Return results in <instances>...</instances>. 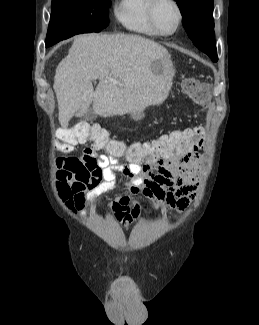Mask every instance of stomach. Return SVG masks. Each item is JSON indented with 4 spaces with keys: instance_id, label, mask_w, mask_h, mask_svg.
<instances>
[{
    "instance_id": "stomach-1",
    "label": "stomach",
    "mask_w": 259,
    "mask_h": 325,
    "mask_svg": "<svg viewBox=\"0 0 259 325\" xmlns=\"http://www.w3.org/2000/svg\"><path fill=\"white\" fill-rule=\"evenodd\" d=\"M131 118H133L134 120H140L144 117V113L141 111H134V112H129Z\"/></svg>"
}]
</instances>
